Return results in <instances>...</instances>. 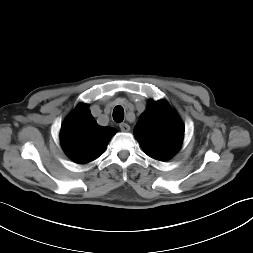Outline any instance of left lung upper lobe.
<instances>
[{"label":"left lung upper lobe","mask_w":253,"mask_h":253,"mask_svg":"<svg viewBox=\"0 0 253 253\" xmlns=\"http://www.w3.org/2000/svg\"><path fill=\"white\" fill-rule=\"evenodd\" d=\"M144 152L160 161L169 160L182 144L184 125L166 101H149L134 128Z\"/></svg>","instance_id":"1"}]
</instances>
